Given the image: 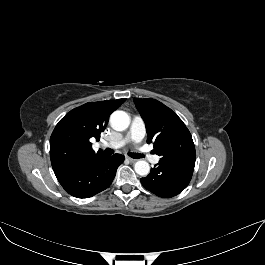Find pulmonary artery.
I'll return each mask as SVG.
<instances>
[{"label": "pulmonary artery", "mask_w": 265, "mask_h": 265, "mask_svg": "<svg viewBox=\"0 0 265 265\" xmlns=\"http://www.w3.org/2000/svg\"><path fill=\"white\" fill-rule=\"evenodd\" d=\"M145 133H146V128L143 121L139 117L135 116L132 119L129 131L124 138L114 141L104 142L103 144L106 146L118 148L124 146L128 142L139 143L144 138ZM146 157L153 164H157L159 162L158 155L146 154Z\"/></svg>", "instance_id": "obj_1"}]
</instances>
